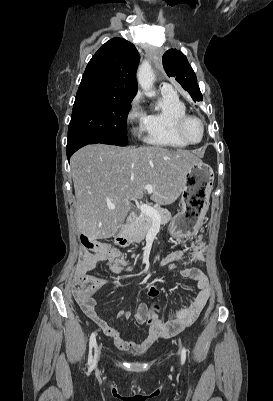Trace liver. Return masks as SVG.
<instances>
[{
	"instance_id": "1",
	"label": "liver",
	"mask_w": 273,
	"mask_h": 401,
	"mask_svg": "<svg viewBox=\"0 0 273 401\" xmlns=\"http://www.w3.org/2000/svg\"><path fill=\"white\" fill-rule=\"evenodd\" d=\"M70 162L79 233L109 239L126 219L130 198H143L146 184L153 186L154 203L171 205L183 190L185 170L201 160L191 150L87 144Z\"/></svg>"
}]
</instances>
